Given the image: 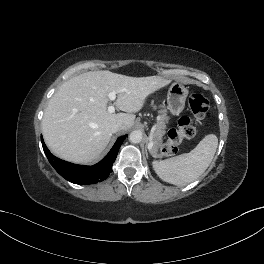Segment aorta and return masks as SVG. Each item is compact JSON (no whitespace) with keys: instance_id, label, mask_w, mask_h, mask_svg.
<instances>
[{"instance_id":"aorta-1","label":"aorta","mask_w":264,"mask_h":264,"mask_svg":"<svg viewBox=\"0 0 264 264\" xmlns=\"http://www.w3.org/2000/svg\"><path fill=\"white\" fill-rule=\"evenodd\" d=\"M131 143H140L142 140V132L139 130L132 131L129 135Z\"/></svg>"}]
</instances>
